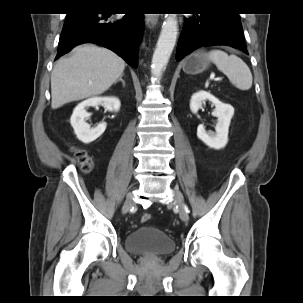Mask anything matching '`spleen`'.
Listing matches in <instances>:
<instances>
[{
    "label": "spleen",
    "instance_id": "obj_1",
    "mask_svg": "<svg viewBox=\"0 0 303 303\" xmlns=\"http://www.w3.org/2000/svg\"><path fill=\"white\" fill-rule=\"evenodd\" d=\"M207 56L238 89L249 90L251 88L252 74L242 59L234 54L228 55L222 50H212Z\"/></svg>",
    "mask_w": 303,
    "mask_h": 303
}]
</instances>
